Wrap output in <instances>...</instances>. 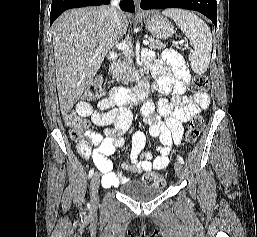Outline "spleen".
Instances as JSON below:
<instances>
[{
  "mask_svg": "<svg viewBox=\"0 0 257 237\" xmlns=\"http://www.w3.org/2000/svg\"><path fill=\"white\" fill-rule=\"evenodd\" d=\"M162 14L173 19L189 39L193 47L189 58L192 70L197 74L205 73L212 51V34L207 24L196 15L181 9H167Z\"/></svg>",
  "mask_w": 257,
  "mask_h": 237,
  "instance_id": "spleen-1",
  "label": "spleen"
}]
</instances>
